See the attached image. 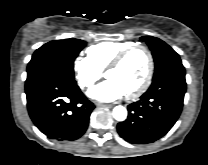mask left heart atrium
Returning a JSON list of instances; mask_svg holds the SVG:
<instances>
[{
    "mask_svg": "<svg viewBox=\"0 0 208 165\" xmlns=\"http://www.w3.org/2000/svg\"><path fill=\"white\" fill-rule=\"evenodd\" d=\"M90 97L101 101H112L124 95L119 85L112 79H107L89 92Z\"/></svg>",
    "mask_w": 208,
    "mask_h": 165,
    "instance_id": "1",
    "label": "left heart atrium"
}]
</instances>
